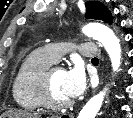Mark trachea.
Returning a JSON list of instances; mask_svg holds the SVG:
<instances>
[{"mask_svg":"<svg viewBox=\"0 0 133 118\" xmlns=\"http://www.w3.org/2000/svg\"><path fill=\"white\" fill-rule=\"evenodd\" d=\"M92 61L93 62H98V58H93Z\"/></svg>","mask_w":133,"mask_h":118,"instance_id":"obj_1","label":"trachea"}]
</instances>
